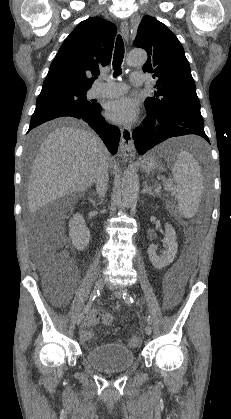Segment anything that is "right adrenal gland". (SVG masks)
Wrapping results in <instances>:
<instances>
[{
  "label": "right adrenal gland",
  "instance_id": "obj_1",
  "mask_svg": "<svg viewBox=\"0 0 231 419\" xmlns=\"http://www.w3.org/2000/svg\"><path fill=\"white\" fill-rule=\"evenodd\" d=\"M92 194H93V195H96V193H95V192H93Z\"/></svg>",
  "mask_w": 231,
  "mask_h": 419
}]
</instances>
